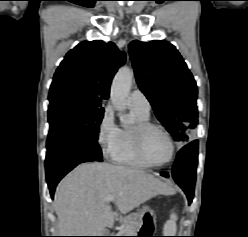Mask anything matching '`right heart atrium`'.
Segmentation results:
<instances>
[{
    "label": "right heart atrium",
    "instance_id": "right-heart-atrium-1",
    "mask_svg": "<svg viewBox=\"0 0 248 237\" xmlns=\"http://www.w3.org/2000/svg\"><path fill=\"white\" fill-rule=\"evenodd\" d=\"M120 129L116 125L114 115L110 106H107L98 122L96 139L104 157H112L119 143Z\"/></svg>",
    "mask_w": 248,
    "mask_h": 237
}]
</instances>
